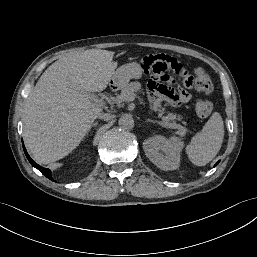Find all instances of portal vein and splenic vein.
Segmentation results:
<instances>
[{
	"label": "portal vein and splenic vein",
	"mask_w": 257,
	"mask_h": 257,
	"mask_svg": "<svg viewBox=\"0 0 257 257\" xmlns=\"http://www.w3.org/2000/svg\"><path fill=\"white\" fill-rule=\"evenodd\" d=\"M87 97L89 99L95 101L96 103L100 104V105L103 104V101L101 99H99L98 97H96L95 95H93V94H88ZM135 98H136V95L133 93V94L128 95L125 98V101H128V102L134 101ZM149 114L151 115V112H149ZM169 127L179 129L181 131V134H184L185 131H186V129L183 126L179 125V124H169Z\"/></svg>",
	"instance_id": "18ae733b"
}]
</instances>
